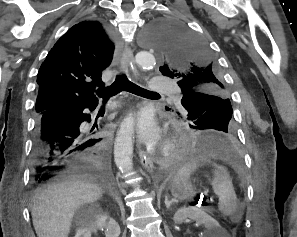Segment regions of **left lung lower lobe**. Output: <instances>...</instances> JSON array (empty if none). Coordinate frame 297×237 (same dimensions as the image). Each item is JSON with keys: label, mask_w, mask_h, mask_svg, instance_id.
I'll use <instances>...</instances> for the list:
<instances>
[{"label": "left lung lower lobe", "mask_w": 297, "mask_h": 237, "mask_svg": "<svg viewBox=\"0 0 297 237\" xmlns=\"http://www.w3.org/2000/svg\"><path fill=\"white\" fill-rule=\"evenodd\" d=\"M194 130L181 146L177 159L187 161L204 156L231 157L236 155V137L226 134L224 129L204 127L196 122L190 125Z\"/></svg>", "instance_id": "1"}]
</instances>
